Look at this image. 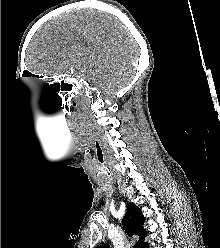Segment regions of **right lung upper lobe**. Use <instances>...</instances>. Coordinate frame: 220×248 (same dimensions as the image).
I'll use <instances>...</instances> for the list:
<instances>
[{"instance_id": "cb5924a9", "label": "right lung upper lobe", "mask_w": 220, "mask_h": 248, "mask_svg": "<svg viewBox=\"0 0 220 248\" xmlns=\"http://www.w3.org/2000/svg\"><path fill=\"white\" fill-rule=\"evenodd\" d=\"M144 216L141 210L134 204L127 205V212L122 220V225L129 237L138 235L139 240L134 248H147L148 243H144L146 230L143 228ZM99 248H109V245L101 246Z\"/></svg>"}]
</instances>
